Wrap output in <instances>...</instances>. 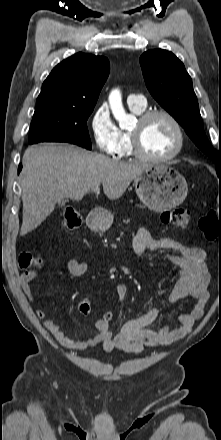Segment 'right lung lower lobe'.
<instances>
[{
	"label": "right lung lower lobe",
	"mask_w": 221,
	"mask_h": 440,
	"mask_svg": "<svg viewBox=\"0 0 221 440\" xmlns=\"http://www.w3.org/2000/svg\"><path fill=\"white\" fill-rule=\"evenodd\" d=\"M21 169H22V164H19L18 173L21 171Z\"/></svg>",
	"instance_id": "98d812e1"
}]
</instances>
